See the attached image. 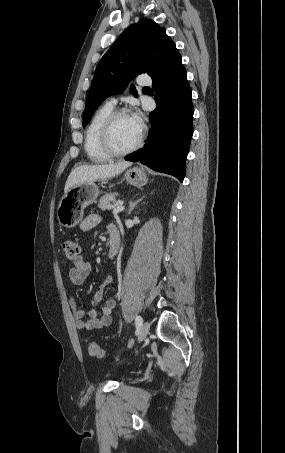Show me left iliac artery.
<instances>
[{"mask_svg": "<svg viewBox=\"0 0 285 453\" xmlns=\"http://www.w3.org/2000/svg\"><path fill=\"white\" fill-rule=\"evenodd\" d=\"M142 323H143L142 317H141V316H136V318H135V324H136V326H141Z\"/></svg>", "mask_w": 285, "mask_h": 453, "instance_id": "44dca946", "label": "left iliac artery"}]
</instances>
